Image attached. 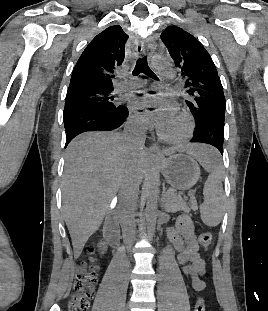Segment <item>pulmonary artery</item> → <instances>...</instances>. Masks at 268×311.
Masks as SVG:
<instances>
[{
	"instance_id": "obj_1",
	"label": "pulmonary artery",
	"mask_w": 268,
	"mask_h": 311,
	"mask_svg": "<svg viewBox=\"0 0 268 311\" xmlns=\"http://www.w3.org/2000/svg\"><path fill=\"white\" fill-rule=\"evenodd\" d=\"M161 77H162L163 80H171V79H173L175 77V72L172 69H166V70L162 71ZM143 84H144V82H142V81H139L137 83L123 82V83H120L118 85V90L119 91H124V90L130 89V88H133L135 86L140 87Z\"/></svg>"
}]
</instances>
